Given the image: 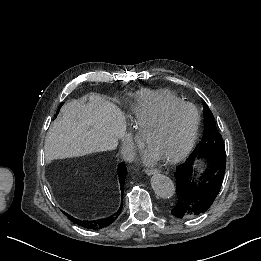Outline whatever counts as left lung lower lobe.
<instances>
[{"mask_svg": "<svg viewBox=\"0 0 261 261\" xmlns=\"http://www.w3.org/2000/svg\"><path fill=\"white\" fill-rule=\"evenodd\" d=\"M200 157L210 161L199 184L191 181L193 163ZM226 168V155L213 152L196 153L189 156L188 161L176 167L177 203L171 210L177 218H191L203 214L214 202L222 186Z\"/></svg>", "mask_w": 261, "mask_h": 261, "instance_id": "left-lung-lower-lobe-1", "label": "left lung lower lobe"}]
</instances>
